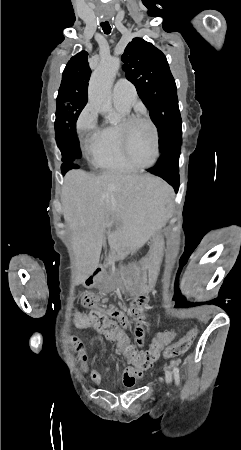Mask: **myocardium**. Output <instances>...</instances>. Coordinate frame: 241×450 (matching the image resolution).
<instances>
[{
  "label": "myocardium",
  "instance_id": "myocardium-1",
  "mask_svg": "<svg viewBox=\"0 0 241 450\" xmlns=\"http://www.w3.org/2000/svg\"><path fill=\"white\" fill-rule=\"evenodd\" d=\"M136 120H137V117L135 115H128L125 118H123L121 129L119 131L120 136H118L116 139L117 142L120 143L119 149H122L121 151H122V153H124V157H126V161H127L128 157L131 156L129 152H125V150H124L125 143H128L127 142L128 141L127 134L130 132V129H128L127 127H130V123L132 121H136ZM153 126L158 127L159 123L154 122ZM151 135L153 137L151 140V145H152L151 147H152V149H153L152 151L154 153V157L151 158V161L155 162L156 161L155 157H159V152H158L159 150L157 148L158 147L157 142L158 143L161 142L162 139H161V137L158 136L157 130H151Z\"/></svg>",
  "mask_w": 241,
  "mask_h": 450
}]
</instances>
